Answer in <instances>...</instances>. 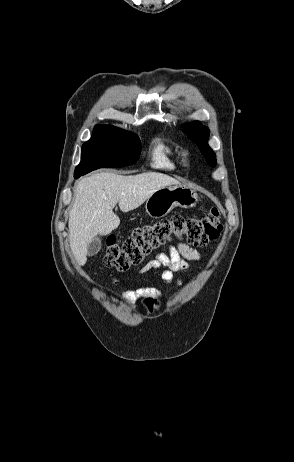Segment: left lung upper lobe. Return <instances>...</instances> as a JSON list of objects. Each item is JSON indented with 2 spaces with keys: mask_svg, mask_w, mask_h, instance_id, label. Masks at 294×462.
<instances>
[{
  "mask_svg": "<svg viewBox=\"0 0 294 462\" xmlns=\"http://www.w3.org/2000/svg\"><path fill=\"white\" fill-rule=\"evenodd\" d=\"M183 131L187 136L195 141L201 149L206 161L211 165H216V155L208 146L207 140L209 136V129L204 127L199 121L193 123H185L182 125Z\"/></svg>",
  "mask_w": 294,
  "mask_h": 462,
  "instance_id": "left-lung-upper-lobe-1",
  "label": "left lung upper lobe"
}]
</instances>
